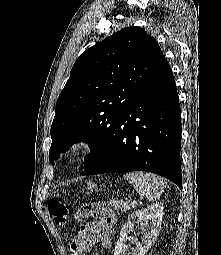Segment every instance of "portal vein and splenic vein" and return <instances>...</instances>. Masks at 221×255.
<instances>
[{
	"label": "portal vein and splenic vein",
	"instance_id": "1",
	"mask_svg": "<svg viewBox=\"0 0 221 255\" xmlns=\"http://www.w3.org/2000/svg\"><path fill=\"white\" fill-rule=\"evenodd\" d=\"M132 204H137L136 202H131Z\"/></svg>",
	"mask_w": 221,
	"mask_h": 255
}]
</instances>
